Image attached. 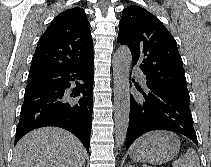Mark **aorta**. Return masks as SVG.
<instances>
[{
	"label": "aorta",
	"instance_id": "obj_1",
	"mask_svg": "<svg viewBox=\"0 0 211 167\" xmlns=\"http://www.w3.org/2000/svg\"><path fill=\"white\" fill-rule=\"evenodd\" d=\"M132 56L129 48L120 46L113 57L115 138L119 148L124 144L129 122V72Z\"/></svg>",
	"mask_w": 211,
	"mask_h": 167
}]
</instances>
